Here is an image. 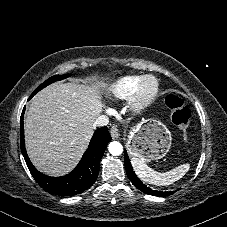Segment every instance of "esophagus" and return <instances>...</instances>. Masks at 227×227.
Returning a JSON list of instances; mask_svg holds the SVG:
<instances>
[{"mask_svg":"<svg viewBox=\"0 0 227 227\" xmlns=\"http://www.w3.org/2000/svg\"><path fill=\"white\" fill-rule=\"evenodd\" d=\"M110 134H111L112 139H118L120 137V133L117 128V125L112 126V128L110 130Z\"/></svg>","mask_w":227,"mask_h":227,"instance_id":"34e87169","label":"esophagus"}]
</instances>
